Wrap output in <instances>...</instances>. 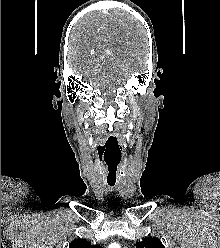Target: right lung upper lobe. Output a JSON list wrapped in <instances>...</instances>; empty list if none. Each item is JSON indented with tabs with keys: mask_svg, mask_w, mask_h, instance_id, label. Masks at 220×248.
Listing matches in <instances>:
<instances>
[{
	"mask_svg": "<svg viewBox=\"0 0 220 248\" xmlns=\"http://www.w3.org/2000/svg\"><path fill=\"white\" fill-rule=\"evenodd\" d=\"M69 248H101L99 245H92L85 239H77L70 243Z\"/></svg>",
	"mask_w": 220,
	"mask_h": 248,
	"instance_id": "cb5924a9",
	"label": "right lung upper lobe"
}]
</instances>
